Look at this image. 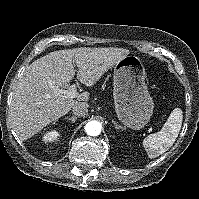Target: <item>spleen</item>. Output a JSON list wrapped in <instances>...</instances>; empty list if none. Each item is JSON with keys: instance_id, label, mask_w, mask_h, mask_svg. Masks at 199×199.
Segmentation results:
<instances>
[{"instance_id": "3e777b00", "label": "spleen", "mask_w": 199, "mask_h": 199, "mask_svg": "<svg viewBox=\"0 0 199 199\" xmlns=\"http://www.w3.org/2000/svg\"><path fill=\"white\" fill-rule=\"evenodd\" d=\"M183 112L175 108L162 129L150 134L143 140V146L149 158H156L165 153L175 142L181 129Z\"/></svg>"}]
</instances>
